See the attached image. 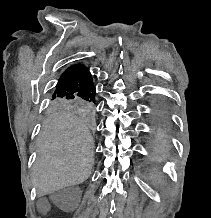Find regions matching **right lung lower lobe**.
<instances>
[{
	"label": "right lung lower lobe",
	"instance_id": "right-lung-lower-lobe-1",
	"mask_svg": "<svg viewBox=\"0 0 211 218\" xmlns=\"http://www.w3.org/2000/svg\"><path fill=\"white\" fill-rule=\"evenodd\" d=\"M91 74L82 64L72 65L60 76L52 97H79L96 102Z\"/></svg>",
	"mask_w": 211,
	"mask_h": 218
}]
</instances>
